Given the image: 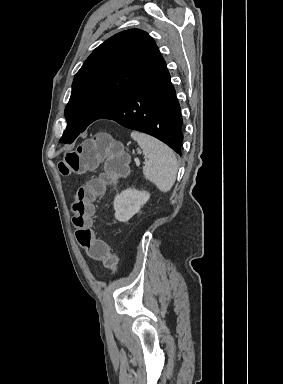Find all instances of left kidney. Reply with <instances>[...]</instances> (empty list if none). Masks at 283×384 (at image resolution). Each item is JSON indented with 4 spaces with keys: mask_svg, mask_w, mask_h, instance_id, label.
<instances>
[{
    "mask_svg": "<svg viewBox=\"0 0 283 384\" xmlns=\"http://www.w3.org/2000/svg\"><path fill=\"white\" fill-rule=\"evenodd\" d=\"M150 194L148 192H138L134 188L123 190L121 194L115 196L114 210L115 218L118 222H128L134 214L139 212L141 206L148 202Z\"/></svg>",
    "mask_w": 283,
    "mask_h": 384,
    "instance_id": "left-kidney-1",
    "label": "left kidney"
}]
</instances>
